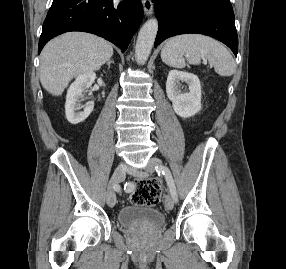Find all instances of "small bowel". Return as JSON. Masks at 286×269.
Instances as JSON below:
<instances>
[{
  "label": "small bowel",
  "instance_id": "obj_1",
  "mask_svg": "<svg viewBox=\"0 0 286 269\" xmlns=\"http://www.w3.org/2000/svg\"><path fill=\"white\" fill-rule=\"evenodd\" d=\"M132 189H133V186L131 185L130 187L126 188V191L130 192V191H132Z\"/></svg>",
  "mask_w": 286,
  "mask_h": 269
}]
</instances>
